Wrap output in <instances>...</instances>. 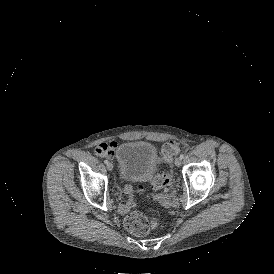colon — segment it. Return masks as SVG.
Returning a JSON list of instances; mask_svg holds the SVG:
<instances>
[{
    "instance_id": "colon-1",
    "label": "colon",
    "mask_w": 274,
    "mask_h": 274,
    "mask_svg": "<svg viewBox=\"0 0 274 274\" xmlns=\"http://www.w3.org/2000/svg\"><path fill=\"white\" fill-rule=\"evenodd\" d=\"M190 146V141L186 137H181L176 140H169L162 146L161 154L158 157V164L161 167H168L171 164V158L177 156L181 150H186ZM106 152V151H99ZM151 185L155 189H161L165 191H173L174 185L172 181L171 174L167 172H162L158 174L151 181ZM126 191H144L146 190V185L143 183L129 184L125 187ZM143 194V193H141ZM158 215L156 209H148L145 211H136L127 215L124 219V228L130 234L136 237H141L147 235L149 232L157 227Z\"/></svg>"
}]
</instances>
